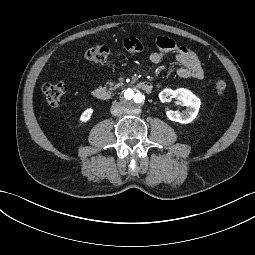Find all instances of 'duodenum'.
<instances>
[{"label":"duodenum","mask_w":255,"mask_h":255,"mask_svg":"<svg viewBox=\"0 0 255 255\" xmlns=\"http://www.w3.org/2000/svg\"><path fill=\"white\" fill-rule=\"evenodd\" d=\"M137 87L139 89L145 91L146 93H150L153 88L152 84L147 81L138 82ZM92 95H93V97H95L98 100L106 101V100H109L112 98L113 93L111 90H109L107 88L98 87L92 91Z\"/></svg>","instance_id":"1"}]
</instances>
